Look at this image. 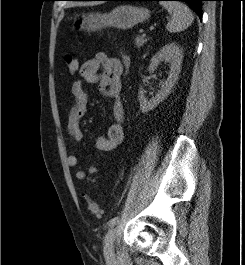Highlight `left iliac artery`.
I'll return each instance as SVG.
<instances>
[{
	"label": "left iliac artery",
	"mask_w": 245,
	"mask_h": 265,
	"mask_svg": "<svg viewBox=\"0 0 245 265\" xmlns=\"http://www.w3.org/2000/svg\"><path fill=\"white\" fill-rule=\"evenodd\" d=\"M117 221H118V217H114L108 222V225L112 227L116 224Z\"/></svg>",
	"instance_id": "1"
}]
</instances>
